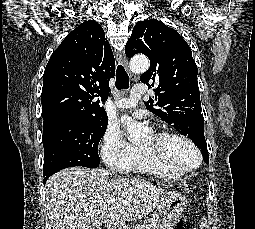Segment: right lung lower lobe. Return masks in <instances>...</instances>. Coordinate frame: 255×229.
<instances>
[{
	"instance_id": "98d812e1",
	"label": "right lung lower lobe",
	"mask_w": 255,
	"mask_h": 229,
	"mask_svg": "<svg viewBox=\"0 0 255 229\" xmlns=\"http://www.w3.org/2000/svg\"><path fill=\"white\" fill-rule=\"evenodd\" d=\"M50 177V175H46L45 179H44V183L46 182V180Z\"/></svg>"
}]
</instances>
